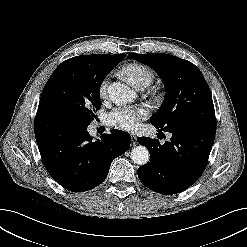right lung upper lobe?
I'll list each match as a JSON object with an SVG mask.
<instances>
[{
  "instance_id": "right-lung-upper-lobe-1",
  "label": "right lung upper lobe",
  "mask_w": 247,
  "mask_h": 247,
  "mask_svg": "<svg viewBox=\"0 0 247 247\" xmlns=\"http://www.w3.org/2000/svg\"><path fill=\"white\" fill-rule=\"evenodd\" d=\"M85 58L101 64L105 68H109L110 70L119 62L123 60L126 56L125 54H116V55H109V54H101V55H82ZM109 70V71H110Z\"/></svg>"
}]
</instances>
